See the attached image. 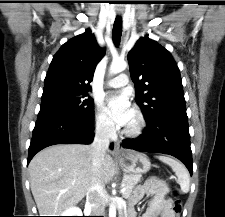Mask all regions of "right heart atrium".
I'll list each match as a JSON object with an SVG mask.
<instances>
[{"label": "right heart atrium", "mask_w": 225, "mask_h": 217, "mask_svg": "<svg viewBox=\"0 0 225 217\" xmlns=\"http://www.w3.org/2000/svg\"><path fill=\"white\" fill-rule=\"evenodd\" d=\"M94 122L96 130L100 134L111 135L113 133L114 131L113 123L100 106H98L96 110Z\"/></svg>", "instance_id": "1"}]
</instances>
